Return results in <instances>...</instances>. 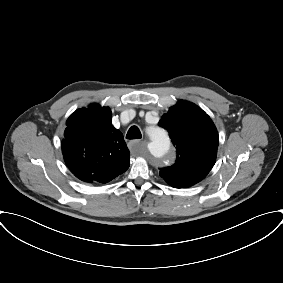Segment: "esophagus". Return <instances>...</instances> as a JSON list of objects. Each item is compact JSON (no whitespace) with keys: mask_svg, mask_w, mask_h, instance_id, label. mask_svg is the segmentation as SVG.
Instances as JSON below:
<instances>
[{"mask_svg":"<svg viewBox=\"0 0 283 283\" xmlns=\"http://www.w3.org/2000/svg\"><path fill=\"white\" fill-rule=\"evenodd\" d=\"M141 143L140 140H133L128 143L129 148H135Z\"/></svg>","mask_w":283,"mask_h":283,"instance_id":"1","label":"esophagus"}]
</instances>
